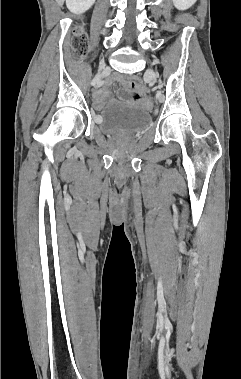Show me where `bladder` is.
I'll use <instances>...</instances> for the list:
<instances>
[{
  "instance_id": "1",
  "label": "bladder",
  "mask_w": 241,
  "mask_h": 379,
  "mask_svg": "<svg viewBox=\"0 0 241 379\" xmlns=\"http://www.w3.org/2000/svg\"><path fill=\"white\" fill-rule=\"evenodd\" d=\"M97 118V125L104 134L122 138L146 130L151 121L150 114L144 108L124 103L109 106Z\"/></svg>"
}]
</instances>
